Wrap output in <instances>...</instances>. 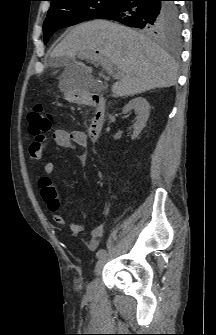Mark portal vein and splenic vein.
I'll list each match as a JSON object with an SVG mask.
<instances>
[{
    "instance_id": "1",
    "label": "portal vein and splenic vein",
    "mask_w": 216,
    "mask_h": 335,
    "mask_svg": "<svg viewBox=\"0 0 216 335\" xmlns=\"http://www.w3.org/2000/svg\"><path fill=\"white\" fill-rule=\"evenodd\" d=\"M81 58L96 60L102 66V68L105 69L110 76H112L113 79L118 78V75L114 73L116 69L115 64L106 57L97 55L96 53H86L81 55Z\"/></svg>"
}]
</instances>
